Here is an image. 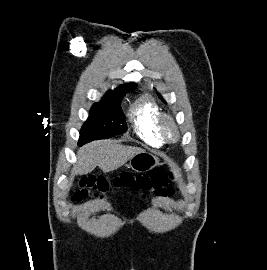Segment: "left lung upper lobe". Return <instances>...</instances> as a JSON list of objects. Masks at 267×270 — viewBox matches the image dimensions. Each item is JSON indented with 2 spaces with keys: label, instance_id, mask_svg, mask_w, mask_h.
Listing matches in <instances>:
<instances>
[{
  "label": "left lung upper lobe",
  "instance_id": "obj_1",
  "mask_svg": "<svg viewBox=\"0 0 267 270\" xmlns=\"http://www.w3.org/2000/svg\"><path fill=\"white\" fill-rule=\"evenodd\" d=\"M159 98L161 99V100H163V98L159 95ZM164 101V100H163Z\"/></svg>",
  "mask_w": 267,
  "mask_h": 270
}]
</instances>
